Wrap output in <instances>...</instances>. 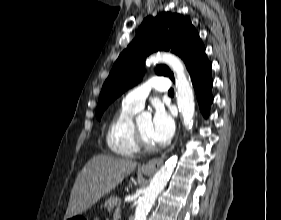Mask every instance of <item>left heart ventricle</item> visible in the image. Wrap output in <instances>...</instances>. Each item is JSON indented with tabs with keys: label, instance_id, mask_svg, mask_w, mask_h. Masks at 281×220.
Returning <instances> with one entry per match:
<instances>
[{
	"label": "left heart ventricle",
	"instance_id": "1",
	"mask_svg": "<svg viewBox=\"0 0 281 220\" xmlns=\"http://www.w3.org/2000/svg\"><path fill=\"white\" fill-rule=\"evenodd\" d=\"M139 131L141 132L143 138L150 144L155 145V142L152 140L150 135V129H151V121L146 120L142 121L137 124Z\"/></svg>",
	"mask_w": 281,
	"mask_h": 220
}]
</instances>
